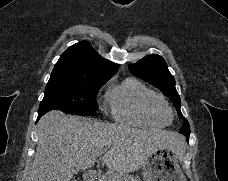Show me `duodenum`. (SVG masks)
Returning a JSON list of instances; mask_svg holds the SVG:
<instances>
[{"instance_id":"obj_1","label":"duodenum","mask_w":228,"mask_h":181,"mask_svg":"<svg viewBox=\"0 0 228 181\" xmlns=\"http://www.w3.org/2000/svg\"><path fill=\"white\" fill-rule=\"evenodd\" d=\"M85 181H99V174L96 172H85Z\"/></svg>"}]
</instances>
